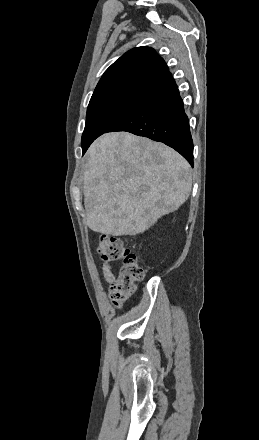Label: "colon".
Here are the masks:
<instances>
[{
    "mask_svg": "<svg viewBox=\"0 0 259 440\" xmlns=\"http://www.w3.org/2000/svg\"><path fill=\"white\" fill-rule=\"evenodd\" d=\"M98 254L105 262H121L118 276L110 285L111 300L114 305L120 306L134 293L136 282L144 278L145 270L136 254L114 236H101Z\"/></svg>",
    "mask_w": 259,
    "mask_h": 440,
    "instance_id": "1",
    "label": "colon"
}]
</instances>
